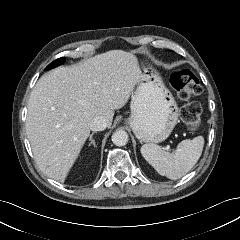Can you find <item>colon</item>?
I'll use <instances>...</instances> for the list:
<instances>
[{
	"label": "colon",
	"instance_id": "obj_1",
	"mask_svg": "<svg viewBox=\"0 0 240 240\" xmlns=\"http://www.w3.org/2000/svg\"><path fill=\"white\" fill-rule=\"evenodd\" d=\"M170 82L179 99L183 102L181 119L191 132L201 128V105L197 98L202 93L198 78L187 69L174 72Z\"/></svg>",
	"mask_w": 240,
	"mask_h": 240
}]
</instances>
